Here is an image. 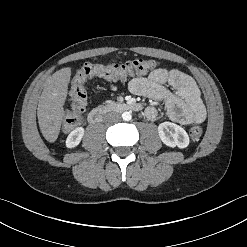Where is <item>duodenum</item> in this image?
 Instances as JSON below:
<instances>
[{
	"label": "duodenum",
	"mask_w": 247,
	"mask_h": 247,
	"mask_svg": "<svg viewBox=\"0 0 247 247\" xmlns=\"http://www.w3.org/2000/svg\"><path fill=\"white\" fill-rule=\"evenodd\" d=\"M141 106L138 103L123 102V103H108L93 109L88 114V121L91 124L99 123L103 116L110 111H140Z\"/></svg>",
	"instance_id": "duodenum-1"
}]
</instances>
